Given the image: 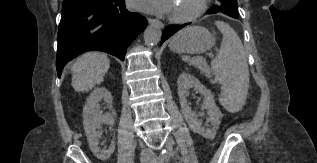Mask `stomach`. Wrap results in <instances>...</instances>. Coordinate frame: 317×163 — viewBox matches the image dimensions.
Here are the masks:
<instances>
[{
  "mask_svg": "<svg viewBox=\"0 0 317 163\" xmlns=\"http://www.w3.org/2000/svg\"><path fill=\"white\" fill-rule=\"evenodd\" d=\"M214 44L215 37L206 28L190 26L173 36L170 48L177 53L200 54L209 50Z\"/></svg>",
  "mask_w": 317,
  "mask_h": 163,
  "instance_id": "1",
  "label": "stomach"
}]
</instances>
